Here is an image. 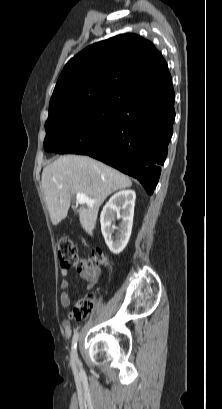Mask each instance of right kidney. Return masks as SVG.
Masks as SVG:
<instances>
[{
	"label": "right kidney",
	"instance_id": "1",
	"mask_svg": "<svg viewBox=\"0 0 222 409\" xmlns=\"http://www.w3.org/2000/svg\"><path fill=\"white\" fill-rule=\"evenodd\" d=\"M135 199V191L122 190L110 198L101 212L102 235L113 254H120L128 244L133 225ZM115 216L121 219L118 228L112 225ZM115 229L117 233L113 236Z\"/></svg>",
	"mask_w": 222,
	"mask_h": 409
}]
</instances>
